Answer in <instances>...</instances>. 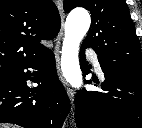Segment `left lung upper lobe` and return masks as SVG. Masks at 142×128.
Segmentation results:
<instances>
[{
    "instance_id": "obj_1",
    "label": "left lung upper lobe",
    "mask_w": 142,
    "mask_h": 128,
    "mask_svg": "<svg viewBox=\"0 0 142 128\" xmlns=\"http://www.w3.org/2000/svg\"><path fill=\"white\" fill-rule=\"evenodd\" d=\"M84 7L91 13V26L82 45L91 47L113 71L142 75V53L125 0H64V10Z\"/></svg>"
}]
</instances>
